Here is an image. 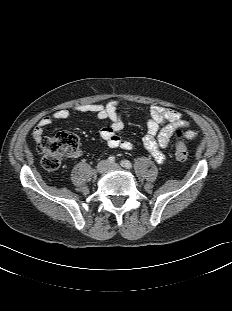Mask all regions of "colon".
<instances>
[{
    "label": "colon",
    "mask_w": 232,
    "mask_h": 311,
    "mask_svg": "<svg viewBox=\"0 0 232 311\" xmlns=\"http://www.w3.org/2000/svg\"><path fill=\"white\" fill-rule=\"evenodd\" d=\"M175 156L184 161L188 158L189 150L183 143V133L180 129L174 130ZM78 147V138L75 134L63 131L54 136L42 138L38 142V151L42 155V165L47 170H56L60 167L62 160L72 154Z\"/></svg>",
    "instance_id": "5ec220e1"
}]
</instances>
